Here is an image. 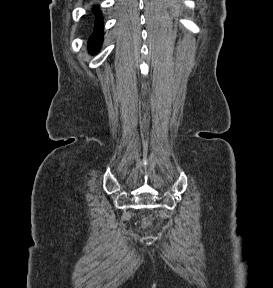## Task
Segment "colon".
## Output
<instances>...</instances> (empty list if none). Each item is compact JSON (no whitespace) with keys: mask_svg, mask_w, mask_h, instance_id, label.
Instances as JSON below:
<instances>
[{"mask_svg":"<svg viewBox=\"0 0 273 288\" xmlns=\"http://www.w3.org/2000/svg\"><path fill=\"white\" fill-rule=\"evenodd\" d=\"M143 223H144L145 225H147V224L149 223V220H148V219H144V220H143Z\"/></svg>","mask_w":273,"mask_h":288,"instance_id":"obj_1","label":"colon"}]
</instances>
